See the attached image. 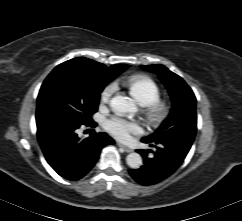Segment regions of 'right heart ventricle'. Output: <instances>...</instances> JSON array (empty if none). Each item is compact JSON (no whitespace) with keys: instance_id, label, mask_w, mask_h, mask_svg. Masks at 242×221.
Listing matches in <instances>:
<instances>
[{"instance_id":"right-heart-ventricle-1","label":"right heart ventricle","mask_w":242,"mask_h":221,"mask_svg":"<svg viewBox=\"0 0 242 221\" xmlns=\"http://www.w3.org/2000/svg\"><path fill=\"white\" fill-rule=\"evenodd\" d=\"M130 92L142 105H151L160 98V88L147 76L131 77L126 81Z\"/></svg>"}]
</instances>
